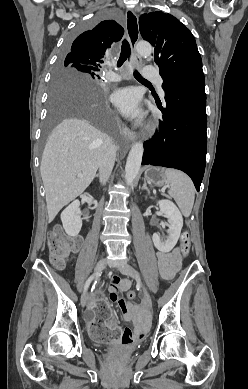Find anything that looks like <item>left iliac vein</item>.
<instances>
[{
  "instance_id": "4c4485c4",
  "label": "left iliac vein",
  "mask_w": 248,
  "mask_h": 389,
  "mask_svg": "<svg viewBox=\"0 0 248 389\" xmlns=\"http://www.w3.org/2000/svg\"><path fill=\"white\" fill-rule=\"evenodd\" d=\"M118 270L124 275L133 277L141 285L143 293H144V297H145V304L147 306V309L151 310L152 309V301H151V298H150V295L148 293L146 286L144 285V283L141 280L139 273L133 267H131L130 265H128L126 263L119 265Z\"/></svg>"
}]
</instances>
